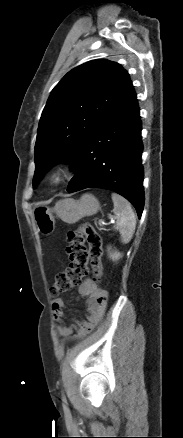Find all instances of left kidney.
<instances>
[{
    "label": "left kidney",
    "instance_id": "obj_1",
    "mask_svg": "<svg viewBox=\"0 0 183 438\" xmlns=\"http://www.w3.org/2000/svg\"><path fill=\"white\" fill-rule=\"evenodd\" d=\"M108 251H109V254H110V258L112 260H117V259H119L121 257V254L119 252H117V251H110V248L108 249Z\"/></svg>",
    "mask_w": 183,
    "mask_h": 438
}]
</instances>
